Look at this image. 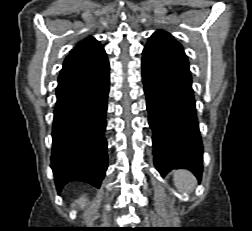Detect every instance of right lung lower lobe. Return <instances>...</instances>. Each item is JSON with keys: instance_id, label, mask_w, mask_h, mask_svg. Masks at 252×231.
<instances>
[{"instance_id": "obj_1", "label": "right lung lower lobe", "mask_w": 252, "mask_h": 231, "mask_svg": "<svg viewBox=\"0 0 252 231\" xmlns=\"http://www.w3.org/2000/svg\"><path fill=\"white\" fill-rule=\"evenodd\" d=\"M109 71L57 96L51 168L58 193L71 181L97 188L107 169L106 129Z\"/></svg>"}]
</instances>
